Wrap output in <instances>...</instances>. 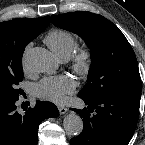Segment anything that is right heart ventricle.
<instances>
[{"label":"right heart ventricle","mask_w":145,"mask_h":145,"mask_svg":"<svg viewBox=\"0 0 145 145\" xmlns=\"http://www.w3.org/2000/svg\"><path fill=\"white\" fill-rule=\"evenodd\" d=\"M45 42L61 59H67L77 48L76 37L65 29H52L45 36Z\"/></svg>","instance_id":"obj_1"}]
</instances>
